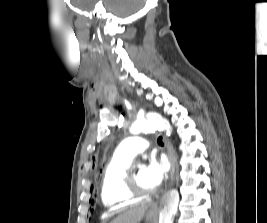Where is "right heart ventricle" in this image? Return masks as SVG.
I'll use <instances>...</instances> for the list:
<instances>
[{"mask_svg":"<svg viewBox=\"0 0 267 223\" xmlns=\"http://www.w3.org/2000/svg\"><path fill=\"white\" fill-rule=\"evenodd\" d=\"M130 159L113 155L107 164L101 181V201L110 212L117 211L131 203L124 186V177L129 170Z\"/></svg>","mask_w":267,"mask_h":223,"instance_id":"1","label":"right heart ventricle"}]
</instances>
